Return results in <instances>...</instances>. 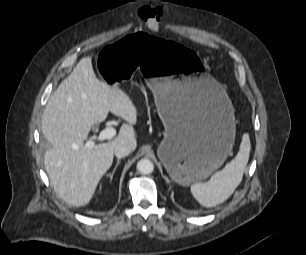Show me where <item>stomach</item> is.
Segmentation results:
<instances>
[{
    "mask_svg": "<svg viewBox=\"0 0 306 255\" xmlns=\"http://www.w3.org/2000/svg\"><path fill=\"white\" fill-rule=\"evenodd\" d=\"M97 64L110 86L129 74L145 75L165 127L158 156L177 184L205 180L222 165L234 143V109L195 52L160 35L132 31L106 47Z\"/></svg>",
    "mask_w": 306,
    "mask_h": 255,
    "instance_id": "obj_1",
    "label": "stomach"
}]
</instances>
